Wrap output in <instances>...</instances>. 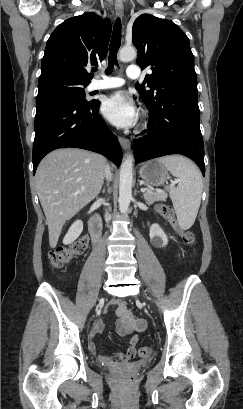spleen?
Segmentation results:
<instances>
[{
	"instance_id": "spleen-1",
	"label": "spleen",
	"mask_w": 243,
	"mask_h": 409,
	"mask_svg": "<svg viewBox=\"0 0 243 409\" xmlns=\"http://www.w3.org/2000/svg\"><path fill=\"white\" fill-rule=\"evenodd\" d=\"M159 161L178 178L177 187H170L169 195L179 226L187 230L194 224L201 203L203 183L200 171L180 155L161 157Z\"/></svg>"
}]
</instances>
